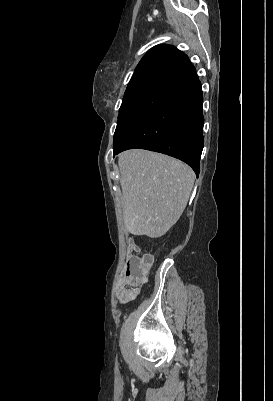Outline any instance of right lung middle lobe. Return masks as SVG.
<instances>
[{"instance_id": "right-lung-middle-lobe-1", "label": "right lung middle lobe", "mask_w": 273, "mask_h": 401, "mask_svg": "<svg viewBox=\"0 0 273 401\" xmlns=\"http://www.w3.org/2000/svg\"><path fill=\"white\" fill-rule=\"evenodd\" d=\"M168 96L143 93L123 97L117 127L114 134L113 149H118L132 132L156 109Z\"/></svg>"}]
</instances>
